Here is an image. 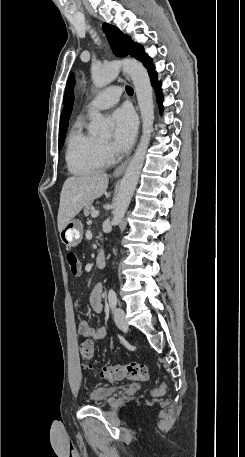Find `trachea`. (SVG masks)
I'll use <instances>...</instances> for the list:
<instances>
[{"mask_svg":"<svg viewBox=\"0 0 245 457\" xmlns=\"http://www.w3.org/2000/svg\"><path fill=\"white\" fill-rule=\"evenodd\" d=\"M126 92L128 93V95H132L133 94V88L130 87V86H126Z\"/></svg>","mask_w":245,"mask_h":457,"instance_id":"obj_1","label":"trachea"}]
</instances>
